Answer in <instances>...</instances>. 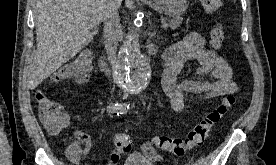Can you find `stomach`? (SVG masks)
<instances>
[{"label": "stomach", "mask_w": 276, "mask_h": 165, "mask_svg": "<svg viewBox=\"0 0 276 165\" xmlns=\"http://www.w3.org/2000/svg\"><path fill=\"white\" fill-rule=\"evenodd\" d=\"M146 3L154 10L173 17L182 15L188 6L186 0H146Z\"/></svg>", "instance_id": "0dacf381"}]
</instances>
